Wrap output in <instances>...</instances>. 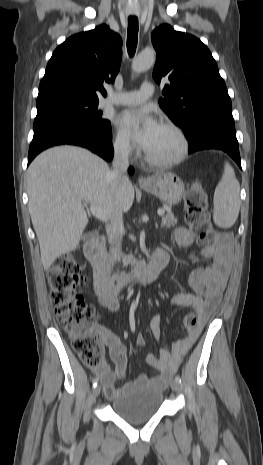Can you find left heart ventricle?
Wrapping results in <instances>:
<instances>
[{
	"label": "left heart ventricle",
	"mask_w": 263,
	"mask_h": 465,
	"mask_svg": "<svg viewBox=\"0 0 263 465\" xmlns=\"http://www.w3.org/2000/svg\"><path fill=\"white\" fill-rule=\"evenodd\" d=\"M179 148L180 143L176 135L162 126L147 153L156 159H169L178 153Z\"/></svg>",
	"instance_id": "b2bd125f"
}]
</instances>
